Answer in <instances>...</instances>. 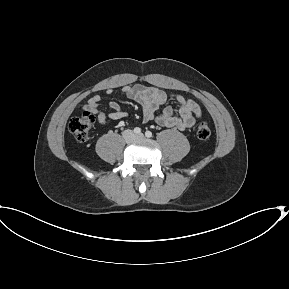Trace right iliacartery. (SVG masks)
<instances>
[{"instance_id": "obj_1", "label": "right iliac artery", "mask_w": 289, "mask_h": 289, "mask_svg": "<svg viewBox=\"0 0 289 289\" xmlns=\"http://www.w3.org/2000/svg\"><path fill=\"white\" fill-rule=\"evenodd\" d=\"M134 133L135 134H140L141 133V129L139 127L134 128Z\"/></svg>"}]
</instances>
